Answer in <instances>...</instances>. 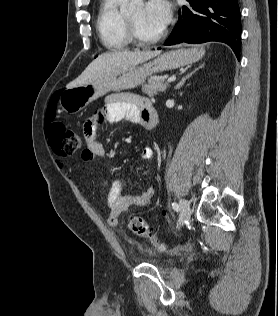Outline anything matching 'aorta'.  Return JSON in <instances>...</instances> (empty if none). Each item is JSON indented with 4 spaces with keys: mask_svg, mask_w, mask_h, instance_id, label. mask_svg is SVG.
Returning <instances> with one entry per match:
<instances>
[{
    "mask_svg": "<svg viewBox=\"0 0 278 316\" xmlns=\"http://www.w3.org/2000/svg\"><path fill=\"white\" fill-rule=\"evenodd\" d=\"M141 5L142 0H130V3L126 6L125 11L133 12Z\"/></svg>",
    "mask_w": 278,
    "mask_h": 316,
    "instance_id": "1",
    "label": "aorta"
}]
</instances>
